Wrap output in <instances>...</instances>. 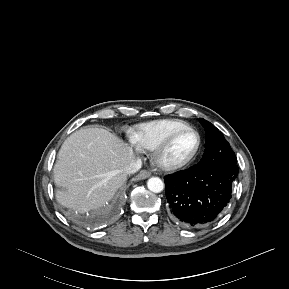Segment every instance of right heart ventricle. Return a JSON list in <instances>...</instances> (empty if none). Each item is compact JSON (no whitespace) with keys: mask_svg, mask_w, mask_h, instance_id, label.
<instances>
[{"mask_svg":"<svg viewBox=\"0 0 289 289\" xmlns=\"http://www.w3.org/2000/svg\"><path fill=\"white\" fill-rule=\"evenodd\" d=\"M189 125L177 119H163L138 126L132 135V143L140 150H154L173 132Z\"/></svg>","mask_w":289,"mask_h":289,"instance_id":"right-heart-ventricle-1","label":"right heart ventricle"}]
</instances>
